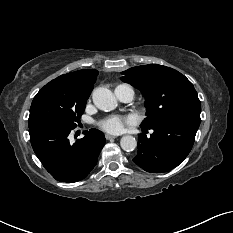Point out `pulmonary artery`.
Here are the masks:
<instances>
[{
    "label": "pulmonary artery",
    "mask_w": 233,
    "mask_h": 233,
    "mask_svg": "<svg viewBox=\"0 0 233 233\" xmlns=\"http://www.w3.org/2000/svg\"><path fill=\"white\" fill-rule=\"evenodd\" d=\"M115 95L120 101L130 102L133 99L134 91L129 85H120L116 87Z\"/></svg>",
    "instance_id": "pulmonary-artery-1"
}]
</instances>
